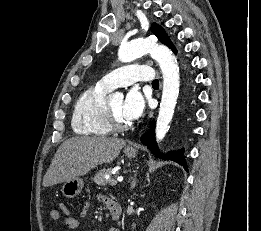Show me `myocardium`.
I'll list each match as a JSON object with an SVG mask.
<instances>
[{"instance_id": "obj_1", "label": "myocardium", "mask_w": 261, "mask_h": 231, "mask_svg": "<svg viewBox=\"0 0 261 231\" xmlns=\"http://www.w3.org/2000/svg\"><path fill=\"white\" fill-rule=\"evenodd\" d=\"M106 122L113 131H126L132 127L130 122H122L115 115L114 111L111 108L110 102H106Z\"/></svg>"}]
</instances>
